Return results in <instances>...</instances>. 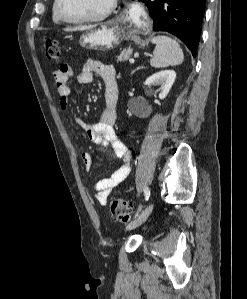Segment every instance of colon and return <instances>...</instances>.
<instances>
[{"label":"colon","mask_w":247,"mask_h":299,"mask_svg":"<svg viewBox=\"0 0 247 299\" xmlns=\"http://www.w3.org/2000/svg\"><path fill=\"white\" fill-rule=\"evenodd\" d=\"M45 56L50 61L59 59V48L57 42L47 39L44 43ZM132 204L123 198H114L110 203V212L112 217L120 222L126 223L130 220Z\"/></svg>","instance_id":"colon-1"}]
</instances>
